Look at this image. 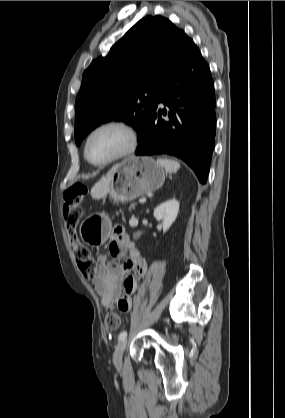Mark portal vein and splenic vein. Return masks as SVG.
<instances>
[{
    "label": "portal vein and splenic vein",
    "instance_id": "1",
    "mask_svg": "<svg viewBox=\"0 0 285 418\" xmlns=\"http://www.w3.org/2000/svg\"><path fill=\"white\" fill-rule=\"evenodd\" d=\"M139 202H140V203H145V202H146V198H141V199L139 200Z\"/></svg>",
    "mask_w": 285,
    "mask_h": 418
}]
</instances>
